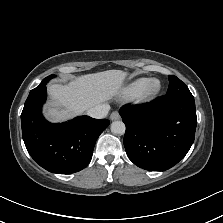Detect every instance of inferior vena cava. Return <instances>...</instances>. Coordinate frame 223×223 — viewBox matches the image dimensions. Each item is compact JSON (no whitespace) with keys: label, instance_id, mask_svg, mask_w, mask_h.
<instances>
[{"label":"inferior vena cava","instance_id":"obj_1","mask_svg":"<svg viewBox=\"0 0 223 223\" xmlns=\"http://www.w3.org/2000/svg\"><path fill=\"white\" fill-rule=\"evenodd\" d=\"M109 109L110 105L108 103L99 104L87 110V115L93 118H103L105 117Z\"/></svg>","mask_w":223,"mask_h":223}]
</instances>
